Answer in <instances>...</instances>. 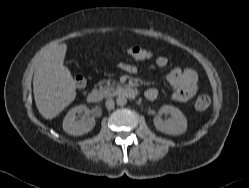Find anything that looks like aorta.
I'll return each instance as SVG.
<instances>
[{
  "label": "aorta",
  "instance_id": "1",
  "mask_svg": "<svg viewBox=\"0 0 249 188\" xmlns=\"http://www.w3.org/2000/svg\"><path fill=\"white\" fill-rule=\"evenodd\" d=\"M116 103L119 106H124L127 103V99L124 95H118V97L116 98Z\"/></svg>",
  "mask_w": 249,
  "mask_h": 188
}]
</instances>
